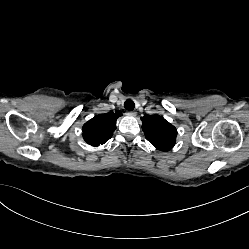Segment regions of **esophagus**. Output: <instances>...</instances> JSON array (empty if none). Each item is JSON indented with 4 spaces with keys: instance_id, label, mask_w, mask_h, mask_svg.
Returning <instances> with one entry per match:
<instances>
[{
    "instance_id": "esophagus-1",
    "label": "esophagus",
    "mask_w": 249,
    "mask_h": 249,
    "mask_svg": "<svg viewBox=\"0 0 249 249\" xmlns=\"http://www.w3.org/2000/svg\"><path fill=\"white\" fill-rule=\"evenodd\" d=\"M127 115L134 117V116H136V112H134V111H128Z\"/></svg>"
}]
</instances>
